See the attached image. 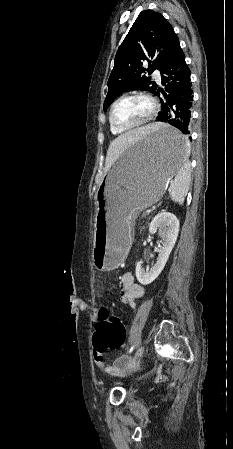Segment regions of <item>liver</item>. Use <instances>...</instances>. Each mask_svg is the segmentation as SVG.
<instances>
[{
    "label": "liver",
    "instance_id": "6515ba94",
    "mask_svg": "<svg viewBox=\"0 0 233 449\" xmlns=\"http://www.w3.org/2000/svg\"><path fill=\"white\" fill-rule=\"evenodd\" d=\"M160 126L161 123H152L120 133L119 137L113 140L108 148L105 170L107 171L133 143L140 142L142 136L157 130Z\"/></svg>",
    "mask_w": 233,
    "mask_h": 449
}]
</instances>
